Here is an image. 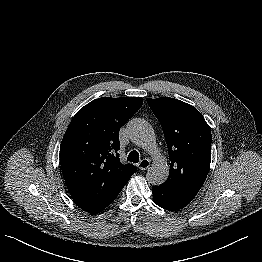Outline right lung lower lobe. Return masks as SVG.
<instances>
[{
	"mask_svg": "<svg viewBox=\"0 0 262 262\" xmlns=\"http://www.w3.org/2000/svg\"><path fill=\"white\" fill-rule=\"evenodd\" d=\"M107 206L99 207V208H81V209H83L84 211H87L90 214H97V213H100L101 211H103L104 208H106Z\"/></svg>",
	"mask_w": 262,
	"mask_h": 262,
	"instance_id": "1",
	"label": "right lung lower lobe"
}]
</instances>
